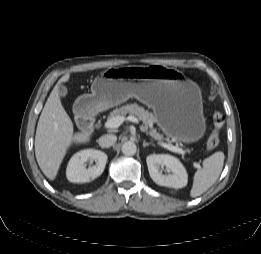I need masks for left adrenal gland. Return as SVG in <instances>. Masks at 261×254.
Returning a JSON list of instances; mask_svg holds the SVG:
<instances>
[{"instance_id": "obj_1", "label": "left adrenal gland", "mask_w": 261, "mask_h": 254, "mask_svg": "<svg viewBox=\"0 0 261 254\" xmlns=\"http://www.w3.org/2000/svg\"><path fill=\"white\" fill-rule=\"evenodd\" d=\"M150 145L155 146L153 143H148L145 140L143 141V147L150 146Z\"/></svg>"}]
</instances>
